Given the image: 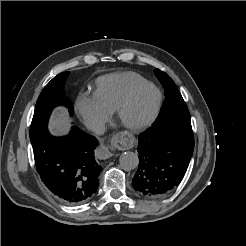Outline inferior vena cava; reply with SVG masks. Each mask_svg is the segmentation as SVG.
<instances>
[{
	"instance_id": "obj_1",
	"label": "inferior vena cava",
	"mask_w": 246,
	"mask_h": 246,
	"mask_svg": "<svg viewBox=\"0 0 246 246\" xmlns=\"http://www.w3.org/2000/svg\"><path fill=\"white\" fill-rule=\"evenodd\" d=\"M87 128L96 134H102L105 131V124L100 119H90L86 124Z\"/></svg>"
}]
</instances>
